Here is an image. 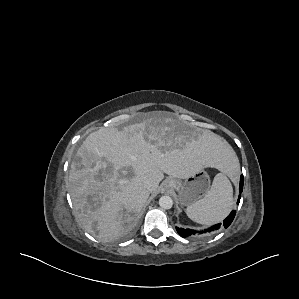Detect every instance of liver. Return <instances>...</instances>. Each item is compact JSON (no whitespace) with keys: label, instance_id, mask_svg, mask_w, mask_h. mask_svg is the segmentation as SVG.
<instances>
[{"label":"liver","instance_id":"6515ba94","mask_svg":"<svg viewBox=\"0 0 299 299\" xmlns=\"http://www.w3.org/2000/svg\"><path fill=\"white\" fill-rule=\"evenodd\" d=\"M235 162L220 136L158 114L121 130L102 127L89 134L71 163L68 188L82 228L112 240L128 230L164 173L186 178L204 167L228 172Z\"/></svg>","mask_w":299,"mask_h":299}]
</instances>
